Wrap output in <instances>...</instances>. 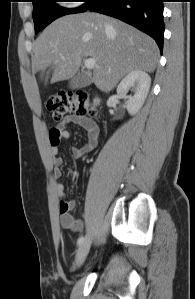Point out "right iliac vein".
<instances>
[{
  "mask_svg": "<svg viewBox=\"0 0 195 299\" xmlns=\"http://www.w3.org/2000/svg\"><path fill=\"white\" fill-rule=\"evenodd\" d=\"M90 246H91V234L88 232L77 251L76 260H75L76 266H79L84 262L90 250Z\"/></svg>",
  "mask_w": 195,
  "mask_h": 299,
  "instance_id": "right-iliac-vein-1",
  "label": "right iliac vein"
}]
</instances>
